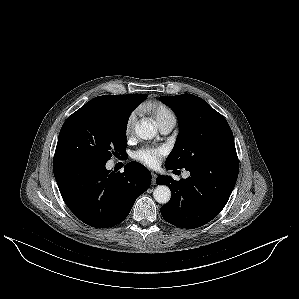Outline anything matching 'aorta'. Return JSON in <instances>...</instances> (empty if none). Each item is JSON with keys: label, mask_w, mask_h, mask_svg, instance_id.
<instances>
[{"label": "aorta", "mask_w": 299, "mask_h": 299, "mask_svg": "<svg viewBox=\"0 0 299 299\" xmlns=\"http://www.w3.org/2000/svg\"><path fill=\"white\" fill-rule=\"evenodd\" d=\"M136 135L143 140H150L157 135L156 127L148 120H141L135 126ZM154 199L160 204H166L171 198V190L165 185H158L153 192Z\"/></svg>", "instance_id": "762f6f07"}]
</instances>
